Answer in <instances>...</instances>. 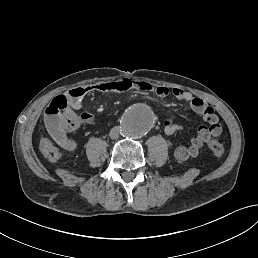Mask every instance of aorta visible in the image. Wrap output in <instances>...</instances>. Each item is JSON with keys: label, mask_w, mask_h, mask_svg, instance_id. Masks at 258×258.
Masks as SVG:
<instances>
[{"label": "aorta", "mask_w": 258, "mask_h": 258, "mask_svg": "<svg viewBox=\"0 0 258 258\" xmlns=\"http://www.w3.org/2000/svg\"><path fill=\"white\" fill-rule=\"evenodd\" d=\"M154 123V115L150 107L135 104L121 118V133L126 138L138 139L144 136Z\"/></svg>", "instance_id": "762f6f07"}]
</instances>
